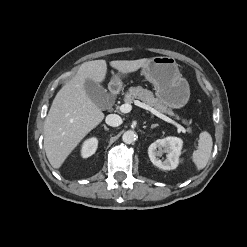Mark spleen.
<instances>
[{
  "label": "spleen",
  "mask_w": 247,
  "mask_h": 247,
  "mask_svg": "<svg viewBox=\"0 0 247 247\" xmlns=\"http://www.w3.org/2000/svg\"><path fill=\"white\" fill-rule=\"evenodd\" d=\"M213 142L212 137L207 131H203L199 135L198 148L193 152L192 161L197 170H202L208 163Z\"/></svg>",
  "instance_id": "3e777b00"
}]
</instances>
